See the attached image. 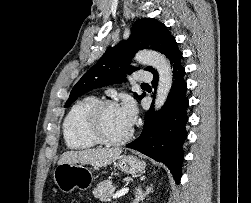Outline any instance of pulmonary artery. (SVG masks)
<instances>
[{
	"label": "pulmonary artery",
	"instance_id": "e3ab8cb5",
	"mask_svg": "<svg viewBox=\"0 0 251 203\" xmlns=\"http://www.w3.org/2000/svg\"><path fill=\"white\" fill-rule=\"evenodd\" d=\"M153 79V74L149 72H138L137 81L140 83H148Z\"/></svg>",
	"mask_w": 251,
	"mask_h": 203
}]
</instances>
